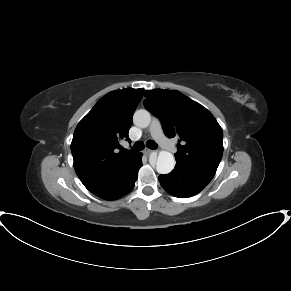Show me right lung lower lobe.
I'll return each mask as SVG.
<instances>
[{
  "label": "right lung lower lobe",
  "instance_id": "obj_1",
  "mask_svg": "<svg viewBox=\"0 0 291 291\" xmlns=\"http://www.w3.org/2000/svg\"><path fill=\"white\" fill-rule=\"evenodd\" d=\"M141 166V153H138L131 165L120 172L117 176L102 183L86 186V188L91 193L102 199H118L133 189L134 183L137 179L138 170Z\"/></svg>",
  "mask_w": 291,
  "mask_h": 291
}]
</instances>
